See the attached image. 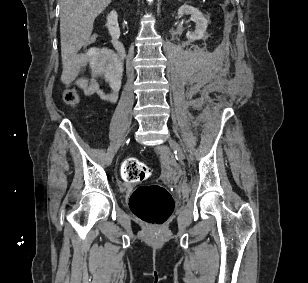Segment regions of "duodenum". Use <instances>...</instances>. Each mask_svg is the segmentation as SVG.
<instances>
[{"label":"duodenum","mask_w":308,"mask_h":283,"mask_svg":"<svg viewBox=\"0 0 308 283\" xmlns=\"http://www.w3.org/2000/svg\"><path fill=\"white\" fill-rule=\"evenodd\" d=\"M112 42H113V45H114L116 51L118 52L119 56L123 58L125 56L124 43L116 37H113Z\"/></svg>","instance_id":"duodenum-1"}]
</instances>
